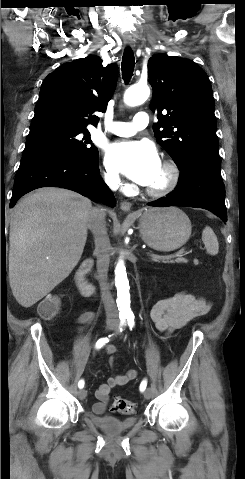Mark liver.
Returning <instances> with one entry per match:
<instances>
[{
	"mask_svg": "<svg viewBox=\"0 0 245 479\" xmlns=\"http://www.w3.org/2000/svg\"><path fill=\"white\" fill-rule=\"evenodd\" d=\"M92 203L73 191L44 187L11 213L9 280L17 302L29 308L69 276L87 240Z\"/></svg>",
	"mask_w": 245,
	"mask_h": 479,
	"instance_id": "1",
	"label": "liver"
}]
</instances>
